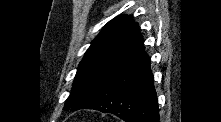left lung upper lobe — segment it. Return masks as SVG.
I'll list each match as a JSON object with an SVG mask.
<instances>
[{
  "label": "left lung upper lobe",
  "mask_w": 221,
  "mask_h": 122,
  "mask_svg": "<svg viewBox=\"0 0 221 122\" xmlns=\"http://www.w3.org/2000/svg\"><path fill=\"white\" fill-rule=\"evenodd\" d=\"M135 27L136 23L127 15L106 24L79 64L64 109L78 110L95 94L121 58Z\"/></svg>",
  "instance_id": "left-lung-upper-lobe-1"
}]
</instances>
